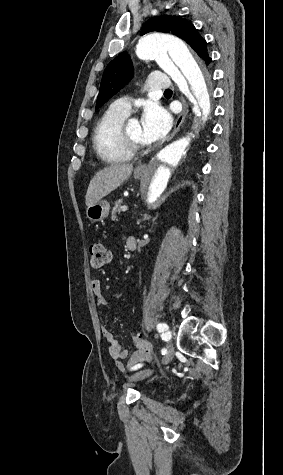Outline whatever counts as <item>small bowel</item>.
I'll list each match as a JSON object with an SVG mask.
<instances>
[{
    "label": "small bowel",
    "instance_id": "small-bowel-1",
    "mask_svg": "<svg viewBox=\"0 0 283 475\" xmlns=\"http://www.w3.org/2000/svg\"><path fill=\"white\" fill-rule=\"evenodd\" d=\"M91 290L94 295L97 297L98 306H105L108 304V300L103 295L102 292V283L100 279L93 278L91 280ZM102 335L105 340L109 343V354L113 360H115L119 367H123L122 361L127 360V354L129 353L128 349L124 348L112 331L107 328L105 325L102 326ZM134 353V352H133ZM140 362H128L126 364L127 370H132Z\"/></svg>",
    "mask_w": 283,
    "mask_h": 475
}]
</instances>
